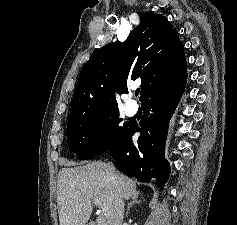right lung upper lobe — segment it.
I'll use <instances>...</instances> for the list:
<instances>
[{
  "instance_id": "right-lung-upper-lobe-1",
  "label": "right lung upper lobe",
  "mask_w": 237,
  "mask_h": 225,
  "mask_svg": "<svg viewBox=\"0 0 237 225\" xmlns=\"http://www.w3.org/2000/svg\"><path fill=\"white\" fill-rule=\"evenodd\" d=\"M141 79L142 101L158 86L187 79L184 46L166 17H141L124 42L100 48L81 69L70 116L83 120L118 109L117 95L128 93L127 83Z\"/></svg>"
}]
</instances>
